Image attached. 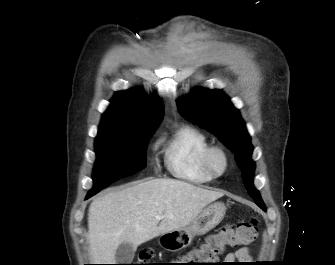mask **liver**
I'll use <instances>...</instances> for the list:
<instances>
[{
  "label": "liver",
  "instance_id": "1",
  "mask_svg": "<svg viewBox=\"0 0 335 265\" xmlns=\"http://www.w3.org/2000/svg\"><path fill=\"white\" fill-rule=\"evenodd\" d=\"M223 195L180 180L152 179L94 198L88 210L90 258L97 262L94 264H113L121 243L137 248L161 234L184 228ZM156 215L163 217L160 223Z\"/></svg>",
  "mask_w": 335,
  "mask_h": 265
}]
</instances>
